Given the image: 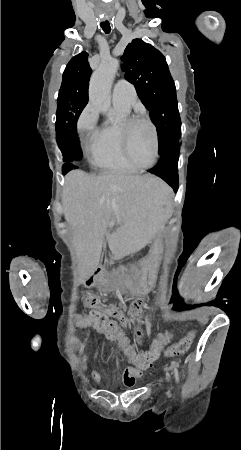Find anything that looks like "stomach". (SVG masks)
Instances as JSON below:
<instances>
[{
    "mask_svg": "<svg viewBox=\"0 0 241 450\" xmlns=\"http://www.w3.org/2000/svg\"><path fill=\"white\" fill-rule=\"evenodd\" d=\"M162 253L163 243L162 239L158 236L154 240L148 255L140 262L139 273L130 270L126 273L116 274L113 277V286H128L138 293L151 290L156 282Z\"/></svg>",
    "mask_w": 241,
    "mask_h": 450,
    "instance_id": "1",
    "label": "stomach"
}]
</instances>
